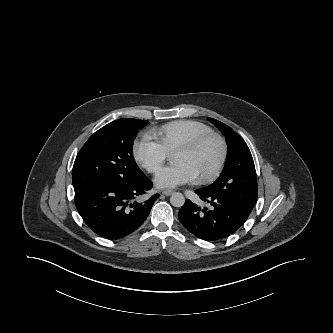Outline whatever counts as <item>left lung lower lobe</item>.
<instances>
[{
  "instance_id": "left-lung-lower-lobe-1",
  "label": "left lung lower lobe",
  "mask_w": 333,
  "mask_h": 333,
  "mask_svg": "<svg viewBox=\"0 0 333 333\" xmlns=\"http://www.w3.org/2000/svg\"><path fill=\"white\" fill-rule=\"evenodd\" d=\"M195 192L208 204V208L201 209L187 200L178 218L190 233L200 239L216 241L228 237L239 229L251 213L222 193L202 188Z\"/></svg>"
}]
</instances>
